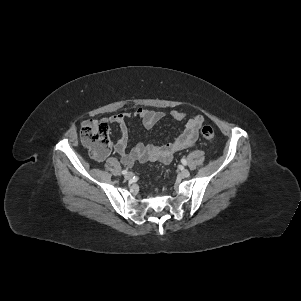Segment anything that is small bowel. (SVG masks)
<instances>
[{
  "mask_svg": "<svg viewBox=\"0 0 301 301\" xmlns=\"http://www.w3.org/2000/svg\"><path fill=\"white\" fill-rule=\"evenodd\" d=\"M135 115L141 120L146 129H151L164 117L163 112L141 107L135 111ZM170 115L176 121H183L186 118L185 112L180 110H173ZM128 117V113H120L107 119L110 124L116 125L120 132V136L112 146V150L119 155L121 163L127 167L133 166L136 161L169 163L175 154L192 147L196 143L198 131L204 121L202 115H194L187 120L184 130L171 143L165 145H144L142 142H139L131 150H128V129L126 125ZM102 159L104 157L98 160Z\"/></svg>",
  "mask_w": 301,
  "mask_h": 301,
  "instance_id": "obj_1",
  "label": "small bowel"
}]
</instances>
